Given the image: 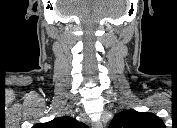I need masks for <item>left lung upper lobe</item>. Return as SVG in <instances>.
<instances>
[{"instance_id":"obj_1","label":"left lung upper lobe","mask_w":177,"mask_h":128,"mask_svg":"<svg viewBox=\"0 0 177 128\" xmlns=\"http://www.w3.org/2000/svg\"><path fill=\"white\" fill-rule=\"evenodd\" d=\"M163 121L153 113L125 110L117 113L109 128H159Z\"/></svg>"}]
</instances>
